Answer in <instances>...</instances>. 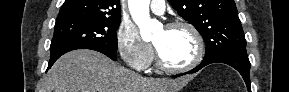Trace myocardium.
Returning <instances> with one entry per match:
<instances>
[{
	"label": "myocardium",
	"mask_w": 289,
	"mask_h": 92,
	"mask_svg": "<svg viewBox=\"0 0 289 92\" xmlns=\"http://www.w3.org/2000/svg\"><path fill=\"white\" fill-rule=\"evenodd\" d=\"M168 29H177V28H184L187 29L193 36L195 43H196V54L193 60L184 66H172L167 64L163 58L161 57L159 51H156V60L158 66L167 72L171 73H183L190 71L197 67L201 61L203 60L204 54H205V43L204 39L199 32V30L190 22L187 21H175L167 26Z\"/></svg>",
	"instance_id": "myocardium-1"
}]
</instances>
